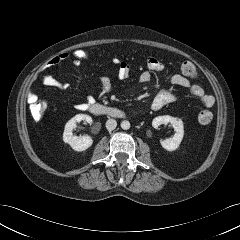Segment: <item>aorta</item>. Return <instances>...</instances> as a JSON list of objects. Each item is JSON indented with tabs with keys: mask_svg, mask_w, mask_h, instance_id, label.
<instances>
[{
	"mask_svg": "<svg viewBox=\"0 0 240 240\" xmlns=\"http://www.w3.org/2000/svg\"><path fill=\"white\" fill-rule=\"evenodd\" d=\"M121 128L123 130H128L130 128V122L127 120H124L121 122Z\"/></svg>",
	"mask_w": 240,
	"mask_h": 240,
	"instance_id": "obj_1",
	"label": "aorta"
}]
</instances>
